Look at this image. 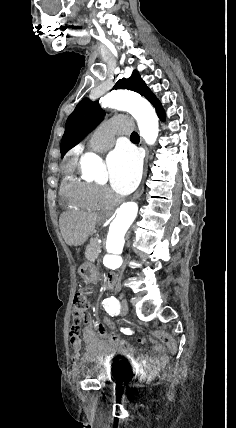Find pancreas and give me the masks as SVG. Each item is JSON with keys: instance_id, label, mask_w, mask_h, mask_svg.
Masks as SVG:
<instances>
[{"instance_id": "pancreas-1", "label": "pancreas", "mask_w": 236, "mask_h": 428, "mask_svg": "<svg viewBox=\"0 0 236 428\" xmlns=\"http://www.w3.org/2000/svg\"><path fill=\"white\" fill-rule=\"evenodd\" d=\"M100 244L98 238H91L88 246H86L85 258L89 262H95L100 254Z\"/></svg>"}]
</instances>
